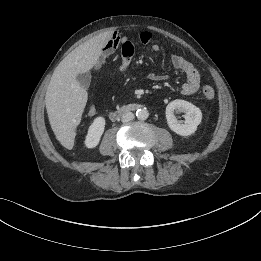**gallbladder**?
I'll use <instances>...</instances> for the list:
<instances>
[{"label":"gallbladder","instance_id":"1","mask_svg":"<svg viewBox=\"0 0 261 261\" xmlns=\"http://www.w3.org/2000/svg\"><path fill=\"white\" fill-rule=\"evenodd\" d=\"M76 80L78 81L81 87L87 89L91 82V74L89 72L80 73L76 76Z\"/></svg>","mask_w":261,"mask_h":261}]
</instances>
